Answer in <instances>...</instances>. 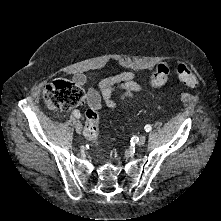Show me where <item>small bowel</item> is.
Wrapping results in <instances>:
<instances>
[{
  "label": "small bowel",
  "instance_id": "small-bowel-1",
  "mask_svg": "<svg viewBox=\"0 0 221 221\" xmlns=\"http://www.w3.org/2000/svg\"><path fill=\"white\" fill-rule=\"evenodd\" d=\"M135 78L134 72L126 71L101 79L98 83V89L93 87L87 88L86 100L88 105L98 110L103 102L110 109L116 108L117 103L113 99V93L116 90L122 91L121 99L123 101L135 99L136 95L144 90L143 86L135 81ZM74 81L78 85L84 86L87 83V76L76 74Z\"/></svg>",
  "mask_w": 221,
  "mask_h": 221
}]
</instances>
